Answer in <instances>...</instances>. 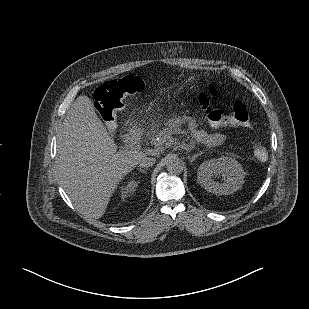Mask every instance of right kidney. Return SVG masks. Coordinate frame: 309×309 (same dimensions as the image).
<instances>
[{"instance_id":"obj_1","label":"right kidney","mask_w":309,"mask_h":309,"mask_svg":"<svg viewBox=\"0 0 309 309\" xmlns=\"http://www.w3.org/2000/svg\"><path fill=\"white\" fill-rule=\"evenodd\" d=\"M138 183L135 180H130L127 182V184L125 186L121 187V196L122 197H126L129 193H132L136 190V188L138 187Z\"/></svg>"}]
</instances>
